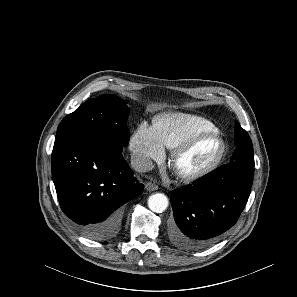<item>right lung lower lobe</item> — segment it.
I'll use <instances>...</instances> for the list:
<instances>
[{
	"mask_svg": "<svg viewBox=\"0 0 297 297\" xmlns=\"http://www.w3.org/2000/svg\"><path fill=\"white\" fill-rule=\"evenodd\" d=\"M122 151L121 144L106 136L54 143L51 169L60 207L89 239L117 235L122 205L143 192Z\"/></svg>",
	"mask_w": 297,
	"mask_h": 297,
	"instance_id": "obj_1",
	"label": "right lung lower lobe"
}]
</instances>
